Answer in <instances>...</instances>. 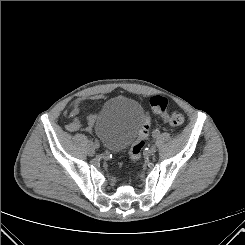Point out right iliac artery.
<instances>
[{"label":"right iliac artery","instance_id":"obj_1","mask_svg":"<svg viewBox=\"0 0 245 245\" xmlns=\"http://www.w3.org/2000/svg\"><path fill=\"white\" fill-rule=\"evenodd\" d=\"M90 139H91V142H95L93 146H94V148H95L96 150L99 151V150L101 149V146H102L101 143L98 142V141H94V139H92V138H90Z\"/></svg>","mask_w":245,"mask_h":245}]
</instances>
